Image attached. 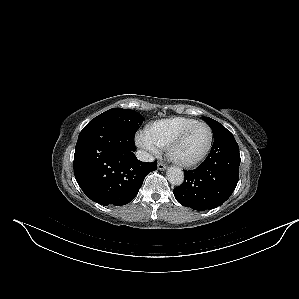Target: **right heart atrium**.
<instances>
[{
	"mask_svg": "<svg viewBox=\"0 0 299 299\" xmlns=\"http://www.w3.org/2000/svg\"><path fill=\"white\" fill-rule=\"evenodd\" d=\"M136 143L150 155H156L160 151V147L147 135V133H139L136 136Z\"/></svg>",
	"mask_w": 299,
	"mask_h": 299,
	"instance_id": "obj_1",
	"label": "right heart atrium"
}]
</instances>
